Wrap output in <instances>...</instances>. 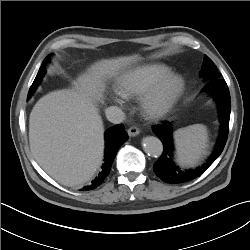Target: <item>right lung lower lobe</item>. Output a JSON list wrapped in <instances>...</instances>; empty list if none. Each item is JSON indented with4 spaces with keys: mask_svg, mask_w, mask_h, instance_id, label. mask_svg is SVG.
Segmentation results:
<instances>
[{
    "mask_svg": "<svg viewBox=\"0 0 250 250\" xmlns=\"http://www.w3.org/2000/svg\"><path fill=\"white\" fill-rule=\"evenodd\" d=\"M127 139L128 135L124 130V126L121 124L113 126L105 132V157L102 170L91 184L86 186L83 190L95 189L104 181L106 176L110 173L118 149Z\"/></svg>",
    "mask_w": 250,
    "mask_h": 250,
    "instance_id": "1",
    "label": "right lung lower lobe"
}]
</instances>
